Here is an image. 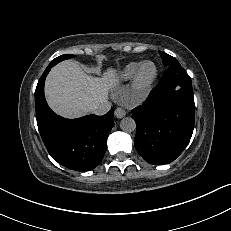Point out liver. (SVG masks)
<instances>
[{
    "mask_svg": "<svg viewBox=\"0 0 231 231\" xmlns=\"http://www.w3.org/2000/svg\"><path fill=\"white\" fill-rule=\"evenodd\" d=\"M118 83L116 70L108 68L101 78L87 75L74 61L66 60L52 68L45 82V96L50 108L66 118L91 112L93 106L108 99Z\"/></svg>",
    "mask_w": 231,
    "mask_h": 231,
    "instance_id": "obj_1",
    "label": "liver"
}]
</instances>
